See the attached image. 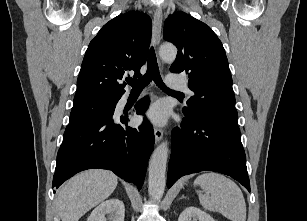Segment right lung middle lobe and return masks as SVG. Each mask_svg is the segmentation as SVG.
I'll return each mask as SVG.
<instances>
[{"label": "right lung middle lobe", "mask_w": 307, "mask_h": 221, "mask_svg": "<svg viewBox=\"0 0 307 221\" xmlns=\"http://www.w3.org/2000/svg\"><path fill=\"white\" fill-rule=\"evenodd\" d=\"M116 103L117 100H110L73 105L66 130L110 116L115 110Z\"/></svg>", "instance_id": "right-lung-middle-lobe-1"}]
</instances>
